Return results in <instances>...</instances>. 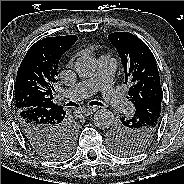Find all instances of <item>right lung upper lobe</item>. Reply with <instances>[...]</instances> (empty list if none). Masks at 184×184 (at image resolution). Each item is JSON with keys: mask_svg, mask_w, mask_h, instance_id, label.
<instances>
[{"mask_svg": "<svg viewBox=\"0 0 184 184\" xmlns=\"http://www.w3.org/2000/svg\"><path fill=\"white\" fill-rule=\"evenodd\" d=\"M76 35L48 37L37 41L26 53L16 76V110L58 107L52 101L53 84L62 55L77 41Z\"/></svg>", "mask_w": 184, "mask_h": 184, "instance_id": "obj_1", "label": "right lung upper lobe"}]
</instances>
